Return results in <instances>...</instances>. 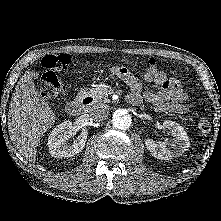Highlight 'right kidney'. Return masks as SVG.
Segmentation results:
<instances>
[{"instance_id": "1", "label": "right kidney", "mask_w": 221, "mask_h": 221, "mask_svg": "<svg viewBox=\"0 0 221 221\" xmlns=\"http://www.w3.org/2000/svg\"><path fill=\"white\" fill-rule=\"evenodd\" d=\"M76 129L72 122L64 121L57 125L48 137V148L52 156L57 158L72 157L81 152L87 141V130H83L78 138L69 144V139L75 134Z\"/></svg>"}]
</instances>
